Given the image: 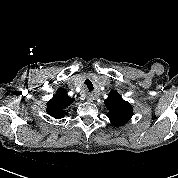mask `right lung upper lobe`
Masks as SVG:
<instances>
[{"mask_svg":"<svg viewBox=\"0 0 178 178\" xmlns=\"http://www.w3.org/2000/svg\"><path fill=\"white\" fill-rule=\"evenodd\" d=\"M75 99L68 96L67 91L63 88H59L55 96L47 103V112L55 119H60L68 114L66 108L73 103Z\"/></svg>","mask_w":178,"mask_h":178,"instance_id":"right-lung-upper-lobe-1","label":"right lung upper lobe"}]
</instances>
